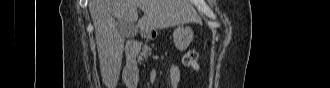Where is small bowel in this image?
I'll return each mask as SVG.
<instances>
[{"instance_id":"small-bowel-1","label":"small bowel","mask_w":330,"mask_h":88,"mask_svg":"<svg viewBox=\"0 0 330 88\" xmlns=\"http://www.w3.org/2000/svg\"><path fill=\"white\" fill-rule=\"evenodd\" d=\"M130 69L134 70L135 66L132 65ZM182 80V71L178 66H172L169 70V84L171 88H177Z\"/></svg>"}]
</instances>
